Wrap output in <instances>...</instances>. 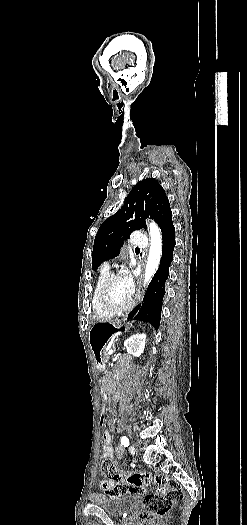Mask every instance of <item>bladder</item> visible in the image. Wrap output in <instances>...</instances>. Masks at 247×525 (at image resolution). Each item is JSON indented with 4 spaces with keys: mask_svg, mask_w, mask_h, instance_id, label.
Wrapping results in <instances>:
<instances>
[{
    "mask_svg": "<svg viewBox=\"0 0 247 525\" xmlns=\"http://www.w3.org/2000/svg\"><path fill=\"white\" fill-rule=\"evenodd\" d=\"M94 505L102 508L106 514L111 517H123L128 515L132 510H137L142 507L138 496L126 494H121L114 498H110L105 494L95 495Z\"/></svg>",
    "mask_w": 247,
    "mask_h": 525,
    "instance_id": "obj_1",
    "label": "bladder"
}]
</instances>
